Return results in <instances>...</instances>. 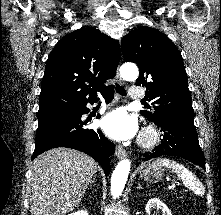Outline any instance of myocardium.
<instances>
[{
    "instance_id": "f54148a6",
    "label": "myocardium",
    "mask_w": 221,
    "mask_h": 215,
    "mask_svg": "<svg viewBox=\"0 0 221 215\" xmlns=\"http://www.w3.org/2000/svg\"><path fill=\"white\" fill-rule=\"evenodd\" d=\"M159 139H160L159 132L154 127L149 126L146 127L142 132L139 139V144L143 148H152L158 144Z\"/></svg>"
}]
</instances>
